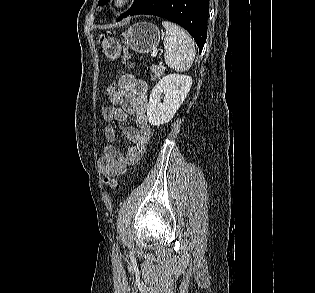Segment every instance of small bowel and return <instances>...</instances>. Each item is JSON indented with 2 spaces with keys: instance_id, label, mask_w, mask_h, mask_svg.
Here are the masks:
<instances>
[{
  "instance_id": "obj_1",
  "label": "small bowel",
  "mask_w": 315,
  "mask_h": 293,
  "mask_svg": "<svg viewBox=\"0 0 315 293\" xmlns=\"http://www.w3.org/2000/svg\"><path fill=\"white\" fill-rule=\"evenodd\" d=\"M115 86L117 91L108 95L112 105L102 109L103 119L109 122L104 130L108 144L104 147L99 167L106 176L123 174L128 166L136 163L152 136V127L146 115L147 83L131 74H125ZM130 116L135 118V126H122ZM117 127L132 143L125 152L118 150L114 144Z\"/></svg>"
}]
</instances>
